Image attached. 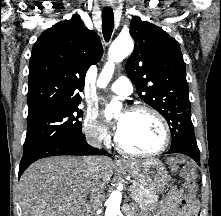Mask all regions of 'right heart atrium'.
<instances>
[{
    "label": "right heart atrium",
    "instance_id": "obj_1",
    "mask_svg": "<svg viewBox=\"0 0 221 216\" xmlns=\"http://www.w3.org/2000/svg\"><path fill=\"white\" fill-rule=\"evenodd\" d=\"M83 131L86 138L96 144L106 143L109 140V133L106 127L98 120L97 115L88 112L83 121Z\"/></svg>",
    "mask_w": 221,
    "mask_h": 216
}]
</instances>
